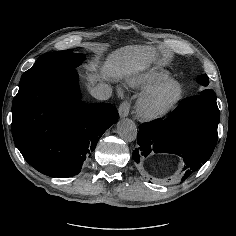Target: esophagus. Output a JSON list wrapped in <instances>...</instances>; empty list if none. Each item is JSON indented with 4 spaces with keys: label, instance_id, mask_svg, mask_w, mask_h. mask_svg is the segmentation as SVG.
Returning a JSON list of instances; mask_svg holds the SVG:
<instances>
[{
    "label": "esophagus",
    "instance_id": "1",
    "mask_svg": "<svg viewBox=\"0 0 236 236\" xmlns=\"http://www.w3.org/2000/svg\"><path fill=\"white\" fill-rule=\"evenodd\" d=\"M129 111H130V103L127 101L123 102L118 108L120 118L127 117L129 114Z\"/></svg>",
    "mask_w": 236,
    "mask_h": 236
}]
</instances>
